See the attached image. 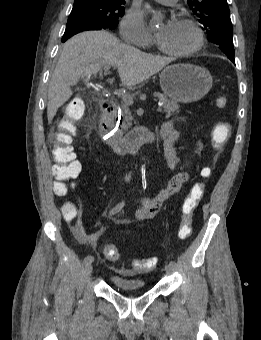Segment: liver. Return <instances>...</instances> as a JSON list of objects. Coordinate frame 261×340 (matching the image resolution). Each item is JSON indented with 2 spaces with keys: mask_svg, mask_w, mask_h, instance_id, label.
I'll use <instances>...</instances> for the list:
<instances>
[{
  "mask_svg": "<svg viewBox=\"0 0 261 340\" xmlns=\"http://www.w3.org/2000/svg\"><path fill=\"white\" fill-rule=\"evenodd\" d=\"M172 60L152 56L125 45L113 34L86 31L64 45L48 89L47 117L51 123L58 108L71 96V86L79 78L96 76L103 66H115L127 88L142 83L162 70Z\"/></svg>",
  "mask_w": 261,
  "mask_h": 340,
  "instance_id": "1",
  "label": "liver"
}]
</instances>
